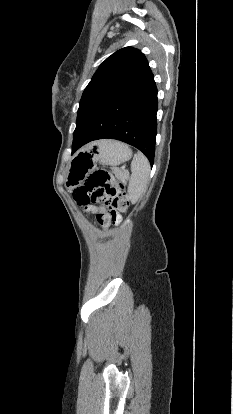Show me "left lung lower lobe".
Segmentation results:
<instances>
[{"mask_svg": "<svg viewBox=\"0 0 233 414\" xmlns=\"http://www.w3.org/2000/svg\"><path fill=\"white\" fill-rule=\"evenodd\" d=\"M156 113L157 88L149 71L126 89L92 103L77 116L72 153L93 140L117 139L139 149L153 165Z\"/></svg>", "mask_w": 233, "mask_h": 414, "instance_id": "obj_1", "label": "left lung lower lobe"}]
</instances>
